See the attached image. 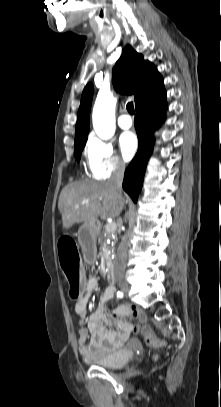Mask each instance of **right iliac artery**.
I'll return each instance as SVG.
<instances>
[{"label": "right iliac artery", "mask_w": 221, "mask_h": 407, "mask_svg": "<svg viewBox=\"0 0 221 407\" xmlns=\"http://www.w3.org/2000/svg\"><path fill=\"white\" fill-rule=\"evenodd\" d=\"M117 296L122 297V296H123V293H122V292H118V293H117Z\"/></svg>", "instance_id": "1"}]
</instances>
